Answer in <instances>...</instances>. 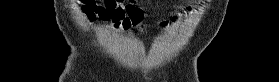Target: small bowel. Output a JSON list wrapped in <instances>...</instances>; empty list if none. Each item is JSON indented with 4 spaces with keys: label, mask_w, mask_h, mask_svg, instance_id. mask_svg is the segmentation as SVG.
I'll return each instance as SVG.
<instances>
[{
    "label": "small bowel",
    "mask_w": 279,
    "mask_h": 82,
    "mask_svg": "<svg viewBox=\"0 0 279 82\" xmlns=\"http://www.w3.org/2000/svg\"><path fill=\"white\" fill-rule=\"evenodd\" d=\"M130 5L134 4V1H129ZM127 6V1L123 0H105L102 6H99L97 3L91 5H85V16L88 21H92L96 16L102 19H110L114 26L119 29H128L130 26L126 24L125 18V8ZM164 20L157 23V28L162 29L169 26L173 21ZM140 29H144L145 25L140 24Z\"/></svg>",
    "instance_id": "small-bowel-1"
}]
</instances>
